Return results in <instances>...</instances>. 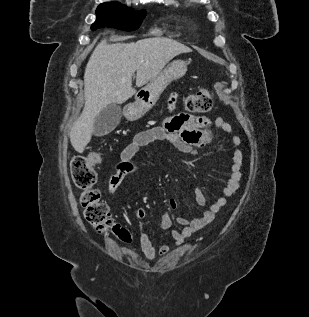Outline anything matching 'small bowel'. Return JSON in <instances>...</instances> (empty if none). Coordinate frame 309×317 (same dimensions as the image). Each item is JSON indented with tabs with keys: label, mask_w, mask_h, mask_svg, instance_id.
<instances>
[{
	"label": "small bowel",
	"mask_w": 309,
	"mask_h": 317,
	"mask_svg": "<svg viewBox=\"0 0 309 317\" xmlns=\"http://www.w3.org/2000/svg\"><path fill=\"white\" fill-rule=\"evenodd\" d=\"M176 95L173 94L169 100V108L173 112ZM214 123L216 127L226 133L232 132L231 125L225 120L218 118L214 122L203 116H196L187 113L170 114L161 126L153 127L142 131L135 135L120 153V161L115 174H113L108 182V193L114 194L125 176L133 170V158L143 148L158 142H168L177 151L191 156H195L198 149L206 144L204 128ZM231 142L234 146L232 154V164L230 165V174L226 185L222 191V195L208 204L207 209L198 217L190 220L185 217L176 218V222L181 226L179 230L171 231V239L174 247H178L184 243L193 233L205 228L216 217V214L226 205L228 198L233 196L239 189L242 177L243 152L239 148L241 139L233 136ZM196 201L199 206L206 204L205 197L201 189L196 190ZM169 208L175 209L176 202L169 201ZM135 216L138 220L145 218L144 209H137ZM173 220L171 215L166 212L162 217L161 225L164 229L172 227ZM139 244L145 257L152 261L157 255L165 256L170 250L169 244H163L159 248H155L149 240L146 233L139 224Z\"/></svg>",
	"instance_id": "1"
}]
</instances>
